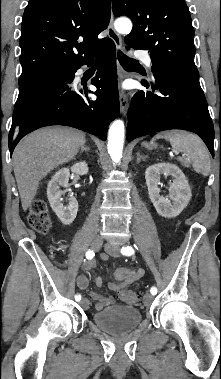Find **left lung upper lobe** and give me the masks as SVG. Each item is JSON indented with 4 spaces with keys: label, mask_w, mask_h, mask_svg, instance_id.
Returning a JSON list of instances; mask_svg holds the SVG:
<instances>
[{
    "label": "left lung upper lobe",
    "mask_w": 221,
    "mask_h": 379,
    "mask_svg": "<svg viewBox=\"0 0 221 379\" xmlns=\"http://www.w3.org/2000/svg\"><path fill=\"white\" fill-rule=\"evenodd\" d=\"M115 16L133 21L124 42L150 50L153 66L199 77L194 63V29L184 0H112Z\"/></svg>",
    "instance_id": "1"
}]
</instances>
